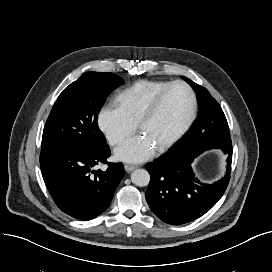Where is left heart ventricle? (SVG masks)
<instances>
[{
    "mask_svg": "<svg viewBox=\"0 0 272 272\" xmlns=\"http://www.w3.org/2000/svg\"><path fill=\"white\" fill-rule=\"evenodd\" d=\"M190 107L187 91L177 86L172 88L165 96L156 114L140 129L155 147L171 138L184 123Z\"/></svg>",
    "mask_w": 272,
    "mask_h": 272,
    "instance_id": "left-heart-ventricle-1",
    "label": "left heart ventricle"
}]
</instances>
